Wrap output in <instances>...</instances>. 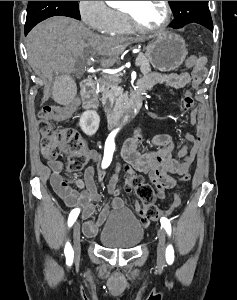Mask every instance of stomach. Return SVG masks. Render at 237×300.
<instances>
[{
  "label": "stomach",
  "instance_id": "stomach-1",
  "mask_svg": "<svg viewBox=\"0 0 237 300\" xmlns=\"http://www.w3.org/2000/svg\"><path fill=\"white\" fill-rule=\"evenodd\" d=\"M188 55L187 45L180 35L165 31L160 35H154L152 43L147 45L146 57L152 67L158 71H175L182 65Z\"/></svg>",
  "mask_w": 237,
  "mask_h": 300
}]
</instances>
